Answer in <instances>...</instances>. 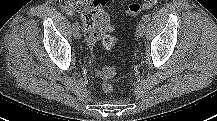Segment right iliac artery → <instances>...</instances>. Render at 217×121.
I'll use <instances>...</instances> for the list:
<instances>
[{
	"mask_svg": "<svg viewBox=\"0 0 217 121\" xmlns=\"http://www.w3.org/2000/svg\"><path fill=\"white\" fill-rule=\"evenodd\" d=\"M73 29H79V24L77 22L72 24Z\"/></svg>",
	"mask_w": 217,
	"mask_h": 121,
	"instance_id": "obj_1",
	"label": "right iliac artery"
}]
</instances>
